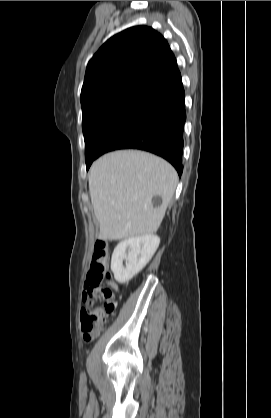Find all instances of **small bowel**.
Returning <instances> with one entry per match:
<instances>
[{
    "mask_svg": "<svg viewBox=\"0 0 271 418\" xmlns=\"http://www.w3.org/2000/svg\"><path fill=\"white\" fill-rule=\"evenodd\" d=\"M111 285H112L113 287H115V284H114V283H111ZM84 289H85V291H87V290L89 289V285H88V283H86V284H85Z\"/></svg>",
    "mask_w": 271,
    "mask_h": 418,
    "instance_id": "obj_1",
    "label": "small bowel"
}]
</instances>
